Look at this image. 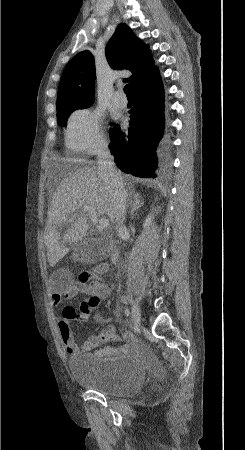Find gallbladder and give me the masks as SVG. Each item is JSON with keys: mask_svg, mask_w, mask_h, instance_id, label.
<instances>
[{"mask_svg": "<svg viewBox=\"0 0 245 450\" xmlns=\"http://www.w3.org/2000/svg\"><path fill=\"white\" fill-rule=\"evenodd\" d=\"M104 249L101 244L88 242L80 249L81 257L84 261L88 262L102 260L107 257Z\"/></svg>", "mask_w": 245, "mask_h": 450, "instance_id": "1", "label": "gallbladder"}]
</instances>
